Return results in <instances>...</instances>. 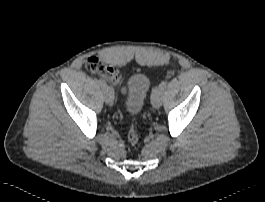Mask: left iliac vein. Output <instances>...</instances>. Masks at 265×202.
Listing matches in <instances>:
<instances>
[{"label":"left iliac vein","instance_id":"1","mask_svg":"<svg viewBox=\"0 0 265 202\" xmlns=\"http://www.w3.org/2000/svg\"><path fill=\"white\" fill-rule=\"evenodd\" d=\"M162 95L163 92H157L153 97H152V105L154 108H159L162 105Z\"/></svg>","mask_w":265,"mask_h":202}]
</instances>
